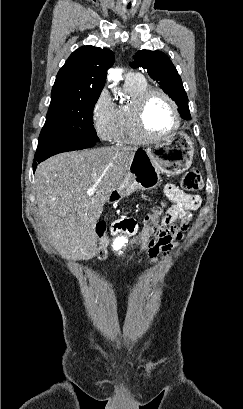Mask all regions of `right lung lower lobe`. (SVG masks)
<instances>
[{
  "mask_svg": "<svg viewBox=\"0 0 243 409\" xmlns=\"http://www.w3.org/2000/svg\"><path fill=\"white\" fill-rule=\"evenodd\" d=\"M96 144L95 141H73L69 143L63 142H38V147L33 162V171L37 164L45 159L62 152L74 151L92 147Z\"/></svg>",
  "mask_w": 243,
  "mask_h": 409,
  "instance_id": "1",
  "label": "right lung lower lobe"
}]
</instances>
